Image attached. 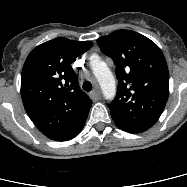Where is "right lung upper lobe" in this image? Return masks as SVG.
Instances as JSON below:
<instances>
[{
  "instance_id": "obj_1",
  "label": "right lung upper lobe",
  "mask_w": 187,
  "mask_h": 187,
  "mask_svg": "<svg viewBox=\"0 0 187 187\" xmlns=\"http://www.w3.org/2000/svg\"><path fill=\"white\" fill-rule=\"evenodd\" d=\"M91 41L56 38L35 47L21 74V97L35 126L48 138L68 141L83 129L92 100L71 66Z\"/></svg>"
}]
</instances>
